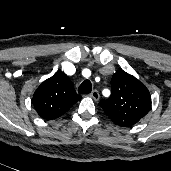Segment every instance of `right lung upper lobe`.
Returning a JSON list of instances; mask_svg holds the SVG:
<instances>
[{
    "instance_id": "obj_1",
    "label": "right lung upper lobe",
    "mask_w": 171,
    "mask_h": 171,
    "mask_svg": "<svg viewBox=\"0 0 171 171\" xmlns=\"http://www.w3.org/2000/svg\"><path fill=\"white\" fill-rule=\"evenodd\" d=\"M81 98L68 76L57 71L36 89L32 103L40 117L52 120L67 112Z\"/></svg>"
}]
</instances>
